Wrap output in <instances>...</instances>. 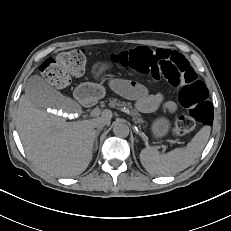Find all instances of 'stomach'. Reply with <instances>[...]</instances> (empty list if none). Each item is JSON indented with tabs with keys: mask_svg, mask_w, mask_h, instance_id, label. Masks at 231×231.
I'll use <instances>...</instances> for the list:
<instances>
[{
	"mask_svg": "<svg viewBox=\"0 0 231 231\" xmlns=\"http://www.w3.org/2000/svg\"><path fill=\"white\" fill-rule=\"evenodd\" d=\"M105 96V88L102 84L97 83H83L79 85L75 90V97L82 103L95 101ZM170 130L169 121L160 117L155 119L151 125V132L153 137L162 138L168 134Z\"/></svg>",
	"mask_w": 231,
	"mask_h": 231,
	"instance_id": "1",
	"label": "stomach"
}]
</instances>
